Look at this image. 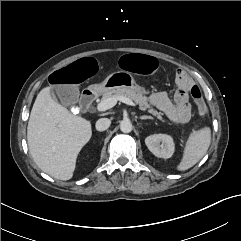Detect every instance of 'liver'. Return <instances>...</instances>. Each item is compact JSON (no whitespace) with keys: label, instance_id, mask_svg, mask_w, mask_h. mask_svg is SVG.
Masks as SVG:
<instances>
[{"label":"liver","instance_id":"liver-1","mask_svg":"<svg viewBox=\"0 0 241 241\" xmlns=\"http://www.w3.org/2000/svg\"><path fill=\"white\" fill-rule=\"evenodd\" d=\"M91 135V122L55 101L50 87L38 93L28 122L27 142L34 162L43 172L55 179H71L77 156Z\"/></svg>","mask_w":241,"mask_h":241}]
</instances>
